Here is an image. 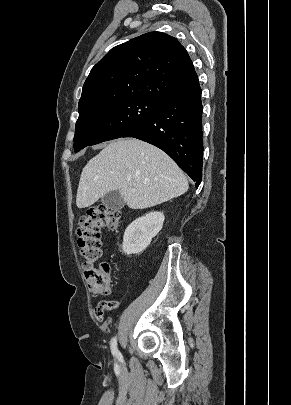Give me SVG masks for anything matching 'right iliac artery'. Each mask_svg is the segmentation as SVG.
<instances>
[{
	"label": "right iliac artery",
	"instance_id": "right-iliac-artery-1",
	"mask_svg": "<svg viewBox=\"0 0 291 405\" xmlns=\"http://www.w3.org/2000/svg\"><path fill=\"white\" fill-rule=\"evenodd\" d=\"M111 351H112V354L115 357H117L120 361H122V355L119 352V350L117 349V339H116V337H114L112 342H111Z\"/></svg>",
	"mask_w": 291,
	"mask_h": 405
}]
</instances>
